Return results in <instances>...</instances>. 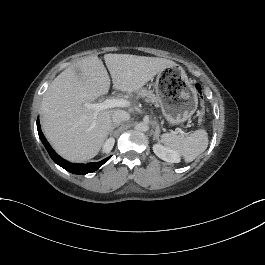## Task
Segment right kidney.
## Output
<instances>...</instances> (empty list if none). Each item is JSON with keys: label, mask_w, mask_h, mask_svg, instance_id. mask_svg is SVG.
I'll return each mask as SVG.
<instances>
[{"label": "right kidney", "mask_w": 265, "mask_h": 265, "mask_svg": "<svg viewBox=\"0 0 265 265\" xmlns=\"http://www.w3.org/2000/svg\"><path fill=\"white\" fill-rule=\"evenodd\" d=\"M113 145H114V140H113V139H109V140L106 142L105 146H104V151H105V152H109V151H111V149L113 148Z\"/></svg>", "instance_id": "1"}]
</instances>
